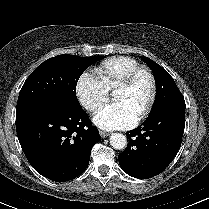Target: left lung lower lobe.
I'll use <instances>...</instances> for the list:
<instances>
[{"instance_id": "obj_1", "label": "left lung lower lobe", "mask_w": 209, "mask_h": 209, "mask_svg": "<svg viewBox=\"0 0 209 209\" xmlns=\"http://www.w3.org/2000/svg\"><path fill=\"white\" fill-rule=\"evenodd\" d=\"M185 108V103L162 106L126 133L129 143L118 159L128 175L148 179L165 170L181 146Z\"/></svg>"}]
</instances>
